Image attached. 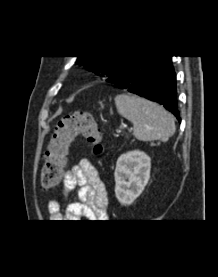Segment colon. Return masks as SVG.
<instances>
[{"label":"colon","mask_w":218,"mask_h":277,"mask_svg":"<svg viewBox=\"0 0 218 277\" xmlns=\"http://www.w3.org/2000/svg\"><path fill=\"white\" fill-rule=\"evenodd\" d=\"M82 136L93 146L95 154L103 151L102 133L94 116L87 111H78L58 120L49 140L41 171V185L49 189L61 180L67 155L74 140Z\"/></svg>","instance_id":"colon-1"}]
</instances>
